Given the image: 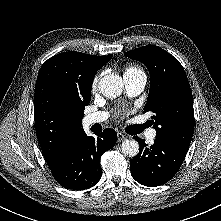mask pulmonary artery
I'll return each instance as SVG.
<instances>
[{
	"label": "pulmonary artery",
	"instance_id": "1",
	"mask_svg": "<svg viewBox=\"0 0 221 221\" xmlns=\"http://www.w3.org/2000/svg\"><path fill=\"white\" fill-rule=\"evenodd\" d=\"M123 80L125 83V88L127 91V94L131 97L137 96L140 94L146 85V76L144 75H123ZM108 117V114L105 111H99L95 113H91L85 117V125L90 126L95 123H101L105 121ZM145 137L148 141H153L156 137V130L155 129H149Z\"/></svg>",
	"mask_w": 221,
	"mask_h": 221
}]
</instances>
